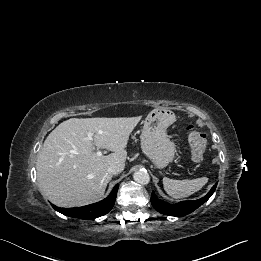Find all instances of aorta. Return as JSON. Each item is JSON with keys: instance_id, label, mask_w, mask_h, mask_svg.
Listing matches in <instances>:
<instances>
[{"instance_id": "1", "label": "aorta", "mask_w": 261, "mask_h": 261, "mask_svg": "<svg viewBox=\"0 0 261 261\" xmlns=\"http://www.w3.org/2000/svg\"><path fill=\"white\" fill-rule=\"evenodd\" d=\"M134 180L142 185H146L150 182V175L146 170H138L133 174Z\"/></svg>"}]
</instances>
